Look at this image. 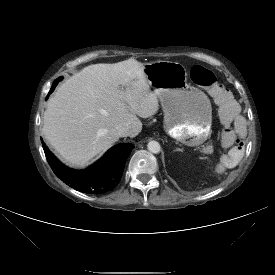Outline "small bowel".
I'll use <instances>...</instances> for the list:
<instances>
[{
    "label": "small bowel",
    "instance_id": "obj_1",
    "mask_svg": "<svg viewBox=\"0 0 275 275\" xmlns=\"http://www.w3.org/2000/svg\"><path fill=\"white\" fill-rule=\"evenodd\" d=\"M239 103L229 97L227 105L221 107L218 118L221 124L227 126L222 133L224 149L220 152V164L228 170L236 169L247 149V138L244 134L246 123L240 113Z\"/></svg>",
    "mask_w": 275,
    "mask_h": 275
}]
</instances>
